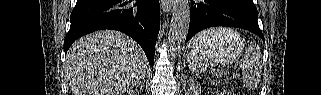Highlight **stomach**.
Returning a JSON list of instances; mask_svg holds the SVG:
<instances>
[{
    "mask_svg": "<svg viewBox=\"0 0 321 95\" xmlns=\"http://www.w3.org/2000/svg\"><path fill=\"white\" fill-rule=\"evenodd\" d=\"M244 48L240 35L231 30L215 42L195 37L187 47V61L202 66H213L235 60Z\"/></svg>",
    "mask_w": 321,
    "mask_h": 95,
    "instance_id": "obj_1",
    "label": "stomach"
}]
</instances>
